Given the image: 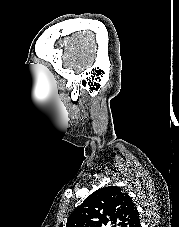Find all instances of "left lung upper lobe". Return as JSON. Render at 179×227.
I'll return each mask as SVG.
<instances>
[{
    "label": "left lung upper lobe",
    "mask_w": 179,
    "mask_h": 227,
    "mask_svg": "<svg viewBox=\"0 0 179 227\" xmlns=\"http://www.w3.org/2000/svg\"><path fill=\"white\" fill-rule=\"evenodd\" d=\"M139 227V213L132 198L120 187L93 192L68 218L66 227Z\"/></svg>",
    "instance_id": "left-lung-upper-lobe-1"
}]
</instances>
